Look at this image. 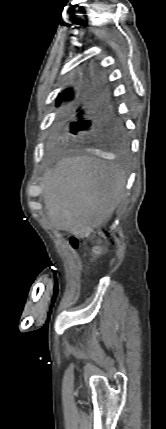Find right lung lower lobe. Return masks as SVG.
Segmentation results:
<instances>
[{"label":"right lung lower lobe","mask_w":166,"mask_h":429,"mask_svg":"<svg viewBox=\"0 0 166 429\" xmlns=\"http://www.w3.org/2000/svg\"><path fill=\"white\" fill-rule=\"evenodd\" d=\"M80 102L77 118L70 124V133L105 141L114 130L123 128L118 116L105 104L99 80L93 81L88 94Z\"/></svg>","instance_id":"1"}]
</instances>
